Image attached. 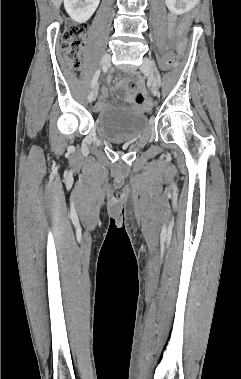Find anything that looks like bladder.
I'll return each mask as SVG.
<instances>
[{
	"label": "bladder",
	"instance_id": "31cf9c89",
	"mask_svg": "<svg viewBox=\"0 0 241 379\" xmlns=\"http://www.w3.org/2000/svg\"><path fill=\"white\" fill-rule=\"evenodd\" d=\"M96 126L106 140L126 143L139 139L148 123L142 112L117 106L102 110L96 117Z\"/></svg>",
	"mask_w": 241,
	"mask_h": 379
}]
</instances>
